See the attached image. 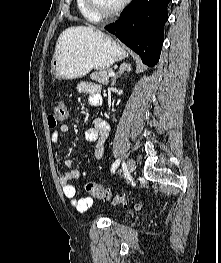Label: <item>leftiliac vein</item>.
I'll return each mask as SVG.
<instances>
[{
  "mask_svg": "<svg viewBox=\"0 0 221 263\" xmlns=\"http://www.w3.org/2000/svg\"><path fill=\"white\" fill-rule=\"evenodd\" d=\"M135 169V161L133 159H129L126 163V172L127 174H131Z\"/></svg>",
  "mask_w": 221,
  "mask_h": 263,
  "instance_id": "left-iliac-vein-1",
  "label": "left iliac vein"
}]
</instances>
